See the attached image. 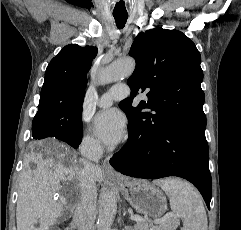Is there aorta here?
<instances>
[{"instance_id":"1","label":"aorta","mask_w":241,"mask_h":230,"mask_svg":"<svg viewBox=\"0 0 241 230\" xmlns=\"http://www.w3.org/2000/svg\"><path fill=\"white\" fill-rule=\"evenodd\" d=\"M135 65L136 63L133 58L115 60L100 71L98 83L107 84L129 77L134 72ZM116 212L117 196L112 190H107L100 202L97 230H112L111 225Z\"/></svg>"}]
</instances>
